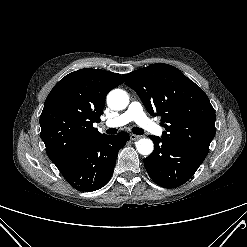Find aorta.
<instances>
[{"label":"aorta","instance_id":"aorta-1","mask_svg":"<svg viewBox=\"0 0 247 247\" xmlns=\"http://www.w3.org/2000/svg\"><path fill=\"white\" fill-rule=\"evenodd\" d=\"M107 104L113 110H123L129 104V96L122 89H114L107 96ZM137 151L142 155H149L154 149L153 142L148 138H142L136 143Z\"/></svg>","mask_w":247,"mask_h":247}]
</instances>
